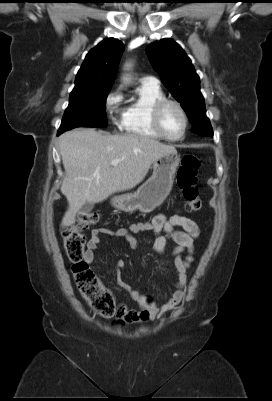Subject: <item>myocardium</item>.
Wrapping results in <instances>:
<instances>
[{"label":"myocardium","instance_id":"1","mask_svg":"<svg viewBox=\"0 0 272 401\" xmlns=\"http://www.w3.org/2000/svg\"><path fill=\"white\" fill-rule=\"evenodd\" d=\"M170 105L175 106L179 110V112L182 115L183 122H184L183 132L177 138L170 137L165 132V130L163 128V125H162L163 112ZM152 124H153L155 130L158 132V134L162 138H164V139H166L168 141H171V142H178V141H181V140H183L185 138L187 130H188L189 120H188L187 113H186L184 107L181 105L180 102H178L176 100H173V99L164 98V99L158 101L153 107V110H152Z\"/></svg>","mask_w":272,"mask_h":401}]
</instances>
